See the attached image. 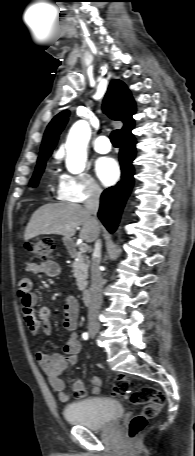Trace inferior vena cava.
<instances>
[{
  "mask_svg": "<svg viewBox=\"0 0 195 456\" xmlns=\"http://www.w3.org/2000/svg\"><path fill=\"white\" fill-rule=\"evenodd\" d=\"M102 189L98 186H93L90 189L89 197L86 199L84 206L91 215L93 223L97 224V212L99 209V199ZM101 241L99 239L95 242L94 252L91 262V287H90V304L88 311V321L90 327H99V311L102 304V288L103 279L99 270L101 261Z\"/></svg>",
  "mask_w": 195,
  "mask_h": 456,
  "instance_id": "inferior-vena-cava-1",
  "label": "inferior vena cava"
}]
</instances>
